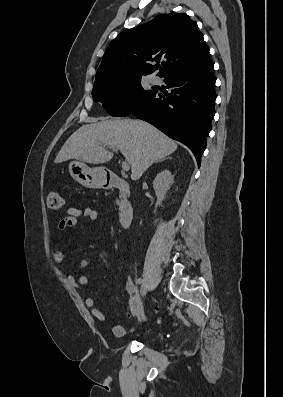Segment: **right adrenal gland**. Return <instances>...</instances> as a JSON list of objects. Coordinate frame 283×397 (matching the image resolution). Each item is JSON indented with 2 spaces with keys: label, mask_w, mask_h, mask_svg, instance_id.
I'll return each mask as SVG.
<instances>
[{
  "label": "right adrenal gland",
  "mask_w": 283,
  "mask_h": 397,
  "mask_svg": "<svg viewBox=\"0 0 283 397\" xmlns=\"http://www.w3.org/2000/svg\"><path fill=\"white\" fill-rule=\"evenodd\" d=\"M166 159H171V157H165V158L159 159V160L156 161L155 163L162 162V161H164V160H166Z\"/></svg>",
  "instance_id": "right-adrenal-gland-1"
}]
</instances>
